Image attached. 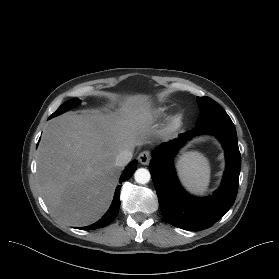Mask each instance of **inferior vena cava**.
Wrapping results in <instances>:
<instances>
[{
  "label": "inferior vena cava",
  "instance_id": "602c4592",
  "mask_svg": "<svg viewBox=\"0 0 279 279\" xmlns=\"http://www.w3.org/2000/svg\"><path fill=\"white\" fill-rule=\"evenodd\" d=\"M132 156L133 152L130 150L121 151L115 159V165L118 167L126 166L131 161Z\"/></svg>",
  "mask_w": 279,
  "mask_h": 279
}]
</instances>
